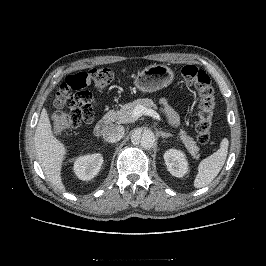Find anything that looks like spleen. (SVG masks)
Here are the masks:
<instances>
[{"label":"spleen","mask_w":266,"mask_h":266,"mask_svg":"<svg viewBox=\"0 0 266 266\" xmlns=\"http://www.w3.org/2000/svg\"><path fill=\"white\" fill-rule=\"evenodd\" d=\"M229 141L224 138L220 148L209 157L203 159L198 165V173L194 180L195 188H202L209 185L221 171L227 154Z\"/></svg>","instance_id":"1"}]
</instances>
